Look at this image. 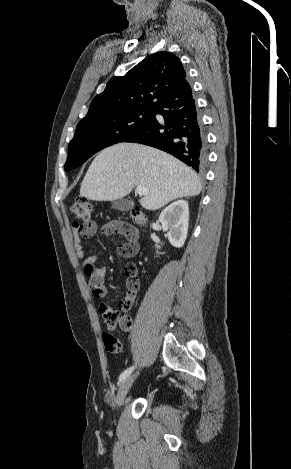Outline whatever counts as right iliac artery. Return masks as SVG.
Segmentation results:
<instances>
[{
    "label": "right iliac artery",
    "instance_id": "82829eb1",
    "mask_svg": "<svg viewBox=\"0 0 291 469\" xmlns=\"http://www.w3.org/2000/svg\"><path fill=\"white\" fill-rule=\"evenodd\" d=\"M134 367H130L128 369H126L125 371H123L119 377V382L118 383H121L123 380H125L129 375L130 373L133 371Z\"/></svg>",
    "mask_w": 291,
    "mask_h": 469
}]
</instances>
